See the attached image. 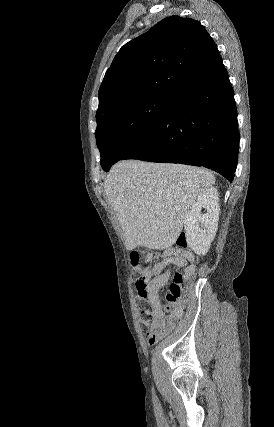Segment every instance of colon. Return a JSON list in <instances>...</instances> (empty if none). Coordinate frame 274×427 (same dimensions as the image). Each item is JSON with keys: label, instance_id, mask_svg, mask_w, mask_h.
<instances>
[{"label": "colon", "instance_id": "1", "mask_svg": "<svg viewBox=\"0 0 274 427\" xmlns=\"http://www.w3.org/2000/svg\"><path fill=\"white\" fill-rule=\"evenodd\" d=\"M189 245V232L181 231L179 235L175 236V247L183 248L184 246ZM131 264L134 267V275L140 276L137 281L133 282V289L138 291L139 296L147 295V279L149 278V260L142 256L141 250H134L133 256L131 257ZM186 272L181 270H176L173 275V279L168 285L165 292V300L169 304H175L177 300L181 297L183 291L185 290L188 282ZM155 308L151 302L141 298L138 302V321L141 328L146 332L147 336H151V346H152V336L156 334L152 333L153 326L152 320L154 317Z\"/></svg>", "mask_w": 274, "mask_h": 427}]
</instances>
